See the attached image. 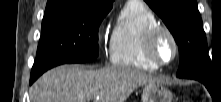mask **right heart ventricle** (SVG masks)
Here are the masks:
<instances>
[{"instance_id":"right-heart-ventricle-1","label":"right heart ventricle","mask_w":221,"mask_h":102,"mask_svg":"<svg viewBox=\"0 0 221 102\" xmlns=\"http://www.w3.org/2000/svg\"><path fill=\"white\" fill-rule=\"evenodd\" d=\"M159 22L153 11L139 0L125 3L114 25L109 56L112 64L146 71L158 67L149 62L143 52L146 31Z\"/></svg>"}]
</instances>
